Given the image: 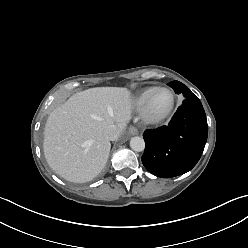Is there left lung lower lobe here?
Listing matches in <instances>:
<instances>
[{
    "label": "left lung lower lobe",
    "instance_id": "left-lung-lower-lobe-1",
    "mask_svg": "<svg viewBox=\"0 0 248 248\" xmlns=\"http://www.w3.org/2000/svg\"><path fill=\"white\" fill-rule=\"evenodd\" d=\"M207 135L208 125L200 100L195 95L186 98L168 126L144 132L142 163L158 177L184 174L199 161Z\"/></svg>",
    "mask_w": 248,
    "mask_h": 248
}]
</instances>
